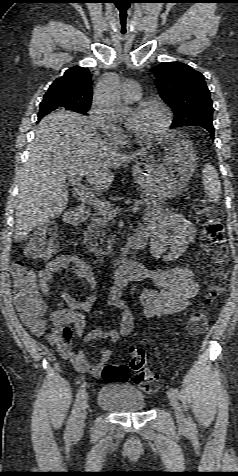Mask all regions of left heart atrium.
<instances>
[{
	"instance_id": "left-heart-atrium-1",
	"label": "left heart atrium",
	"mask_w": 238,
	"mask_h": 476,
	"mask_svg": "<svg viewBox=\"0 0 238 476\" xmlns=\"http://www.w3.org/2000/svg\"><path fill=\"white\" fill-rule=\"evenodd\" d=\"M128 126H129V128L131 129V125H128Z\"/></svg>"
}]
</instances>
